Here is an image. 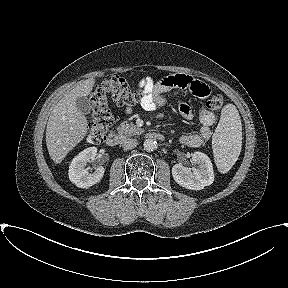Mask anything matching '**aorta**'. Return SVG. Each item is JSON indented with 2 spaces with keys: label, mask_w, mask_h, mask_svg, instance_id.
Returning a JSON list of instances; mask_svg holds the SVG:
<instances>
[{
  "label": "aorta",
  "mask_w": 288,
  "mask_h": 288,
  "mask_svg": "<svg viewBox=\"0 0 288 288\" xmlns=\"http://www.w3.org/2000/svg\"><path fill=\"white\" fill-rule=\"evenodd\" d=\"M143 146L146 151H153L157 149L158 144L156 140L148 138L144 141Z\"/></svg>",
  "instance_id": "1"
}]
</instances>
